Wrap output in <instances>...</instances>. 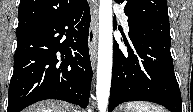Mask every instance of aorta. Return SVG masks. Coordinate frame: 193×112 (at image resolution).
Returning a JSON list of instances; mask_svg holds the SVG:
<instances>
[{"label":"aorta","mask_w":193,"mask_h":112,"mask_svg":"<svg viewBox=\"0 0 193 112\" xmlns=\"http://www.w3.org/2000/svg\"><path fill=\"white\" fill-rule=\"evenodd\" d=\"M112 16V0H100L98 67L96 84V97L99 112H106L110 93L113 52Z\"/></svg>","instance_id":"obj_1"}]
</instances>
